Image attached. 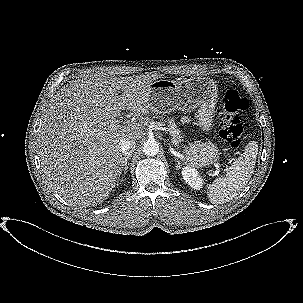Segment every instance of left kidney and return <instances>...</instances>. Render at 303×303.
Returning a JSON list of instances; mask_svg holds the SVG:
<instances>
[{"label": "left kidney", "mask_w": 303, "mask_h": 303, "mask_svg": "<svg viewBox=\"0 0 303 303\" xmlns=\"http://www.w3.org/2000/svg\"><path fill=\"white\" fill-rule=\"evenodd\" d=\"M182 175L190 187L198 190L202 188V179L198 177L197 173L193 169L189 167L184 168Z\"/></svg>", "instance_id": "5707ae66"}]
</instances>
